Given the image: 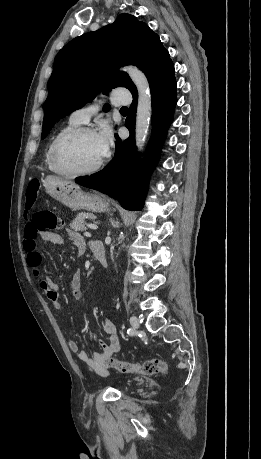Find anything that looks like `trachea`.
Masks as SVG:
<instances>
[{
	"label": "trachea",
	"instance_id": "3493384b",
	"mask_svg": "<svg viewBox=\"0 0 261 459\" xmlns=\"http://www.w3.org/2000/svg\"><path fill=\"white\" fill-rule=\"evenodd\" d=\"M120 110L124 112V111H128V108L127 107H122Z\"/></svg>",
	"mask_w": 261,
	"mask_h": 459
}]
</instances>
